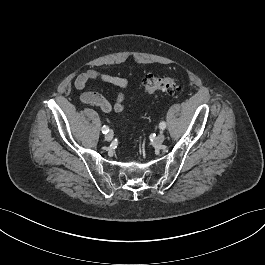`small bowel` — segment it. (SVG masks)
I'll return each instance as SVG.
<instances>
[{"instance_id": "obj_1", "label": "small bowel", "mask_w": 265, "mask_h": 265, "mask_svg": "<svg viewBox=\"0 0 265 265\" xmlns=\"http://www.w3.org/2000/svg\"><path fill=\"white\" fill-rule=\"evenodd\" d=\"M90 81H102L114 85L121 90L126 89L129 85V81L126 78L111 75L100 70H88L80 74L76 78L74 85L78 90H83ZM79 99L82 103L96 106L106 113L112 111L122 112L126 107L123 91L118 92L113 103L95 92H84L80 95Z\"/></svg>"}]
</instances>
